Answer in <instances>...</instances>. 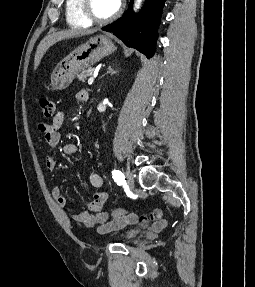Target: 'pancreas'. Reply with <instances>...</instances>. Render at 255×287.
Wrapping results in <instances>:
<instances>
[{"instance_id": "pancreas-1", "label": "pancreas", "mask_w": 255, "mask_h": 287, "mask_svg": "<svg viewBox=\"0 0 255 287\" xmlns=\"http://www.w3.org/2000/svg\"><path fill=\"white\" fill-rule=\"evenodd\" d=\"M95 68H88V70H83L79 76H77L79 82H85L89 76H92Z\"/></svg>"}]
</instances>
